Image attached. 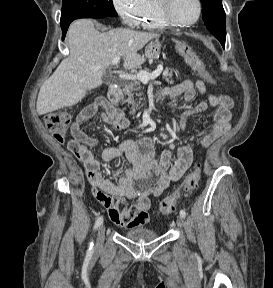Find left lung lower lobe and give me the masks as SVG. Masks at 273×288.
<instances>
[{"mask_svg":"<svg viewBox=\"0 0 273 288\" xmlns=\"http://www.w3.org/2000/svg\"><path fill=\"white\" fill-rule=\"evenodd\" d=\"M211 33L220 41L223 48H225L226 32L220 33V32L213 31Z\"/></svg>","mask_w":273,"mask_h":288,"instance_id":"left-lung-lower-lobe-1","label":"left lung lower lobe"}]
</instances>
